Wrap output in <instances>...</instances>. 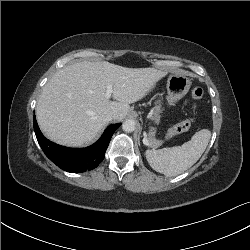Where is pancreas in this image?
<instances>
[{"label":"pancreas","mask_w":250,"mask_h":250,"mask_svg":"<svg viewBox=\"0 0 250 250\" xmlns=\"http://www.w3.org/2000/svg\"><path fill=\"white\" fill-rule=\"evenodd\" d=\"M161 111H162V110H161V101L158 100V101L156 102V106L154 107V112H153V117H152V119H153L156 123H158L159 120H160V113H161ZM155 133H156L155 128H151L150 131H149V133H148V141H149V143H150L153 147L159 145V143H160L158 140L155 139Z\"/></svg>","instance_id":"1"}]
</instances>
